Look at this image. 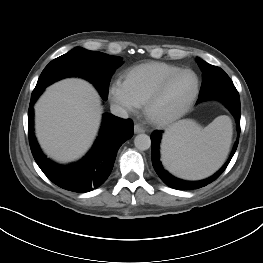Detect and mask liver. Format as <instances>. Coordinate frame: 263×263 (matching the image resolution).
Listing matches in <instances>:
<instances>
[{
    "label": "liver",
    "mask_w": 263,
    "mask_h": 263,
    "mask_svg": "<svg viewBox=\"0 0 263 263\" xmlns=\"http://www.w3.org/2000/svg\"><path fill=\"white\" fill-rule=\"evenodd\" d=\"M101 102L95 88L68 78L49 86L35 105V129L44 152L66 163L81 157L97 135Z\"/></svg>",
    "instance_id": "liver-1"
}]
</instances>
